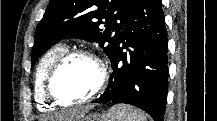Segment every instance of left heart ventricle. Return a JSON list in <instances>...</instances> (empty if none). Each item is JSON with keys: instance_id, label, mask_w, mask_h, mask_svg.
Here are the masks:
<instances>
[{"instance_id": "b2bd125f", "label": "left heart ventricle", "mask_w": 217, "mask_h": 121, "mask_svg": "<svg viewBox=\"0 0 217 121\" xmlns=\"http://www.w3.org/2000/svg\"><path fill=\"white\" fill-rule=\"evenodd\" d=\"M99 76L95 62L84 57L75 58L59 70L53 82V90L63 101L77 102L91 94Z\"/></svg>"}]
</instances>
